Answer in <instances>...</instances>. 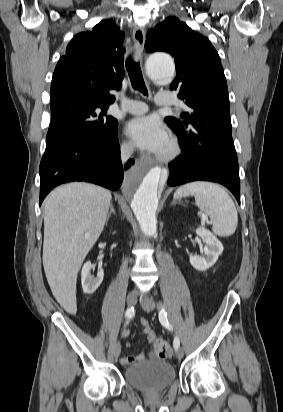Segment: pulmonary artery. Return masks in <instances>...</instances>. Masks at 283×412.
I'll return each instance as SVG.
<instances>
[{
  "label": "pulmonary artery",
  "mask_w": 283,
  "mask_h": 412,
  "mask_svg": "<svg viewBox=\"0 0 283 412\" xmlns=\"http://www.w3.org/2000/svg\"><path fill=\"white\" fill-rule=\"evenodd\" d=\"M155 102L158 106L172 105L174 103V95L170 92L159 93L155 97ZM147 109V105L139 100L127 99L125 102V110L131 114H142Z\"/></svg>",
  "instance_id": "obj_1"
}]
</instances>
